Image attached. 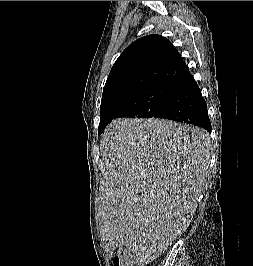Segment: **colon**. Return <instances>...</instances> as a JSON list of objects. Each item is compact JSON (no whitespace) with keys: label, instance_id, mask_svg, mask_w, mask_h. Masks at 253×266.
Listing matches in <instances>:
<instances>
[{"label":"colon","instance_id":"1","mask_svg":"<svg viewBox=\"0 0 253 266\" xmlns=\"http://www.w3.org/2000/svg\"><path fill=\"white\" fill-rule=\"evenodd\" d=\"M133 259L127 252L117 251L113 256L114 266H133Z\"/></svg>","mask_w":253,"mask_h":266}]
</instances>
